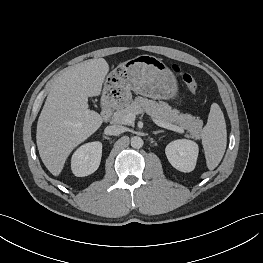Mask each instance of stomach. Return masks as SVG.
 Here are the masks:
<instances>
[{"label": "stomach", "instance_id": "obj_1", "mask_svg": "<svg viewBox=\"0 0 263 263\" xmlns=\"http://www.w3.org/2000/svg\"><path fill=\"white\" fill-rule=\"evenodd\" d=\"M177 90L174 74L161 59L139 55L107 75L103 93L126 104L131 98V91L153 99H170L176 96Z\"/></svg>", "mask_w": 263, "mask_h": 263}]
</instances>
